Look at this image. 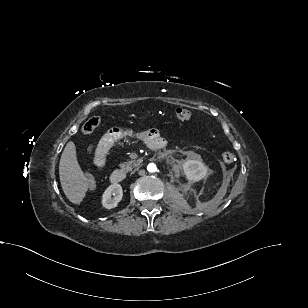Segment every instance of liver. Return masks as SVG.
Wrapping results in <instances>:
<instances>
[{
  "instance_id": "liver-1",
  "label": "liver",
  "mask_w": 308,
  "mask_h": 308,
  "mask_svg": "<svg viewBox=\"0 0 308 308\" xmlns=\"http://www.w3.org/2000/svg\"><path fill=\"white\" fill-rule=\"evenodd\" d=\"M59 177L64 194L74 204H79L86 195L89 180L80 168L76 156V147L69 141L61 155Z\"/></svg>"
}]
</instances>
